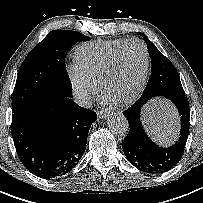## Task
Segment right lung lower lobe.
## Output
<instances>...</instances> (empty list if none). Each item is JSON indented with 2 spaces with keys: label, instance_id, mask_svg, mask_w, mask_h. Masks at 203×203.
Segmentation results:
<instances>
[{
  "label": "right lung lower lobe",
  "instance_id": "1",
  "mask_svg": "<svg viewBox=\"0 0 203 203\" xmlns=\"http://www.w3.org/2000/svg\"><path fill=\"white\" fill-rule=\"evenodd\" d=\"M96 118L67 96L46 97L14 112L12 137L20 161L44 179L65 175L84 154Z\"/></svg>",
  "mask_w": 203,
  "mask_h": 203
}]
</instances>
